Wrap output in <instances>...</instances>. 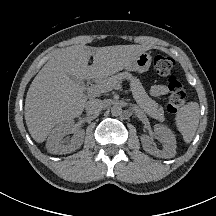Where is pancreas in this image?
Wrapping results in <instances>:
<instances>
[{"label": "pancreas", "mask_w": 216, "mask_h": 216, "mask_svg": "<svg viewBox=\"0 0 216 216\" xmlns=\"http://www.w3.org/2000/svg\"><path fill=\"white\" fill-rule=\"evenodd\" d=\"M124 79L130 81L133 97L140 108L143 109V111L150 117L155 118L161 122L164 121L163 107L159 106L158 103H156L147 95L139 79L133 77L130 73L123 72L111 77L101 79L98 81V85L104 89V92H107L115 89V87L117 85H120V83Z\"/></svg>", "instance_id": "pancreas-1"}]
</instances>
